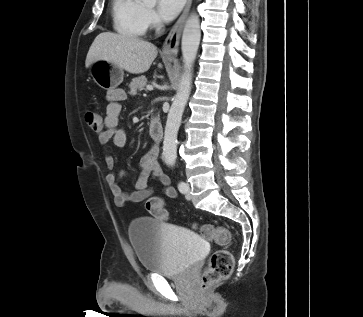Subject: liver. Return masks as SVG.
<instances>
[{
    "label": "liver",
    "mask_w": 363,
    "mask_h": 317,
    "mask_svg": "<svg viewBox=\"0 0 363 317\" xmlns=\"http://www.w3.org/2000/svg\"><path fill=\"white\" fill-rule=\"evenodd\" d=\"M158 54L157 47L138 37L111 32L100 33L93 41L85 61L106 60L132 74L148 71Z\"/></svg>",
    "instance_id": "obj_1"
}]
</instances>
